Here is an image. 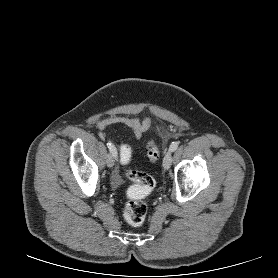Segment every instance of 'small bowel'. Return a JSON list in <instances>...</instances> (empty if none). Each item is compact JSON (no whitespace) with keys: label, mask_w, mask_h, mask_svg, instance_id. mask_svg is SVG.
<instances>
[{"label":"small bowel","mask_w":278,"mask_h":278,"mask_svg":"<svg viewBox=\"0 0 278 278\" xmlns=\"http://www.w3.org/2000/svg\"><path fill=\"white\" fill-rule=\"evenodd\" d=\"M113 125H123L128 128L133 137L140 139L145 131H147L151 125V120L149 118H144L140 120L136 117L128 116H110L97 122L96 126L100 131L107 129ZM118 182V177L115 178Z\"/></svg>","instance_id":"1"}]
</instances>
